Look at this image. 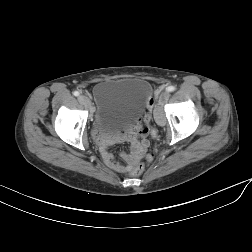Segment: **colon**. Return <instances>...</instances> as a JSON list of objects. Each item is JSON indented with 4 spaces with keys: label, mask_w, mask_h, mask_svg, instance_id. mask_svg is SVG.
Wrapping results in <instances>:
<instances>
[{
    "label": "colon",
    "mask_w": 252,
    "mask_h": 252,
    "mask_svg": "<svg viewBox=\"0 0 252 252\" xmlns=\"http://www.w3.org/2000/svg\"><path fill=\"white\" fill-rule=\"evenodd\" d=\"M152 105H153V100H150L148 110L146 111V114H145V122L146 123L150 122V112H151ZM147 160L151 161L152 160V155L149 154L147 156ZM143 171H144V164L143 163H138L137 165H135L132 168L130 174L132 176H139V175H141L143 173Z\"/></svg>",
    "instance_id": "colon-1"
}]
</instances>
